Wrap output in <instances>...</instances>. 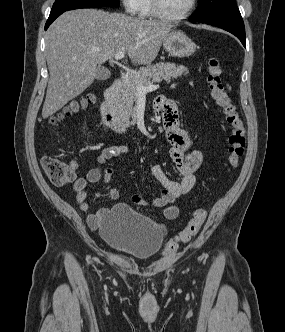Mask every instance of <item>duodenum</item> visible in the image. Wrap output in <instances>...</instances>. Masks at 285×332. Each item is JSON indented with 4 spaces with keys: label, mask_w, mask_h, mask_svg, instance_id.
I'll use <instances>...</instances> for the list:
<instances>
[{
    "label": "duodenum",
    "mask_w": 285,
    "mask_h": 332,
    "mask_svg": "<svg viewBox=\"0 0 285 332\" xmlns=\"http://www.w3.org/2000/svg\"><path fill=\"white\" fill-rule=\"evenodd\" d=\"M122 78H117L104 92L101 104V116L104 124L117 133L126 131V125L121 120L116 107V100L122 87Z\"/></svg>",
    "instance_id": "duodenum-1"
}]
</instances>
